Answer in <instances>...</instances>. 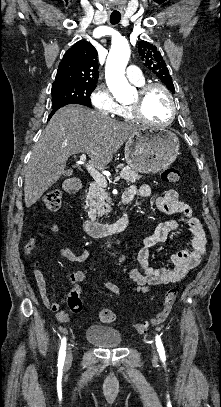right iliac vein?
Listing matches in <instances>:
<instances>
[{
  "label": "right iliac vein",
  "mask_w": 221,
  "mask_h": 407,
  "mask_svg": "<svg viewBox=\"0 0 221 407\" xmlns=\"http://www.w3.org/2000/svg\"><path fill=\"white\" fill-rule=\"evenodd\" d=\"M72 360H73L72 350L71 347H68L66 351V364L67 365L71 364Z\"/></svg>",
  "instance_id": "obj_1"
}]
</instances>
